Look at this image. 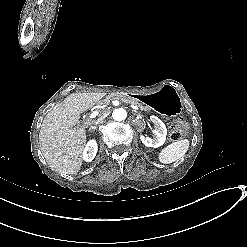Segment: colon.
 Listing matches in <instances>:
<instances>
[{"instance_id":"5ec220e1","label":"colon","mask_w":247,"mask_h":247,"mask_svg":"<svg viewBox=\"0 0 247 247\" xmlns=\"http://www.w3.org/2000/svg\"><path fill=\"white\" fill-rule=\"evenodd\" d=\"M171 128L170 140L172 142H178L182 139L183 135L187 133L188 124L183 117H179L173 121Z\"/></svg>"}]
</instances>
